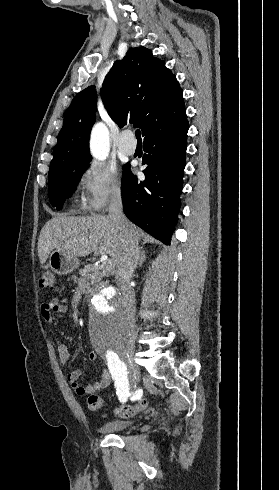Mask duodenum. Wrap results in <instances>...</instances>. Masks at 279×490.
<instances>
[{
	"mask_svg": "<svg viewBox=\"0 0 279 490\" xmlns=\"http://www.w3.org/2000/svg\"><path fill=\"white\" fill-rule=\"evenodd\" d=\"M93 292H94V288L93 287L87 288L86 291H85V297L86 298L91 297V295L93 294Z\"/></svg>",
	"mask_w": 279,
	"mask_h": 490,
	"instance_id": "duodenum-1",
	"label": "duodenum"
}]
</instances>
